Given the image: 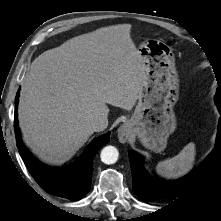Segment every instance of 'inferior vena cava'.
<instances>
[{"instance_id":"1","label":"inferior vena cava","mask_w":221,"mask_h":221,"mask_svg":"<svg viewBox=\"0 0 221 221\" xmlns=\"http://www.w3.org/2000/svg\"><path fill=\"white\" fill-rule=\"evenodd\" d=\"M108 126V119L104 115L96 116L91 122V128L95 132L103 131Z\"/></svg>"}]
</instances>
